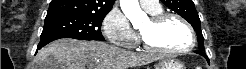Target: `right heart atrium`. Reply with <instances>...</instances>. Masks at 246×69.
I'll use <instances>...</instances> for the list:
<instances>
[{"instance_id": "1", "label": "right heart atrium", "mask_w": 246, "mask_h": 69, "mask_svg": "<svg viewBox=\"0 0 246 69\" xmlns=\"http://www.w3.org/2000/svg\"><path fill=\"white\" fill-rule=\"evenodd\" d=\"M103 29L107 39L116 45H131L134 41L129 22L121 11H111L104 19Z\"/></svg>"}]
</instances>
